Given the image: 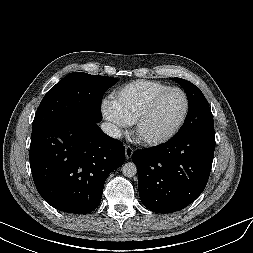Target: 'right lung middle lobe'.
Returning <instances> with one entry per match:
<instances>
[{
	"label": "right lung middle lobe",
	"instance_id": "obj_1",
	"mask_svg": "<svg viewBox=\"0 0 253 253\" xmlns=\"http://www.w3.org/2000/svg\"><path fill=\"white\" fill-rule=\"evenodd\" d=\"M116 78L73 72L43 97L33 120L32 132L76 120L99 123L101 100Z\"/></svg>",
	"mask_w": 253,
	"mask_h": 253
}]
</instances>
